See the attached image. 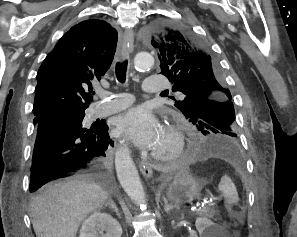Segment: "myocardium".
<instances>
[{
	"label": "myocardium",
	"instance_id": "myocardium-1",
	"mask_svg": "<svg viewBox=\"0 0 297 237\" xmlns=\"http://www.w3.org/2000/svg\"><path fill=\"white\" fill-rule=\"evenodd\" d=\"M166 134L168 135L171 147L166 151L152 152L151 157L159 163H168L180 158L186 147V140L183 130L178 125L169 124L165 128Z\"/></svg>",
	"mask_w": 297,
	"mask_h": 237
}]
</instances>
